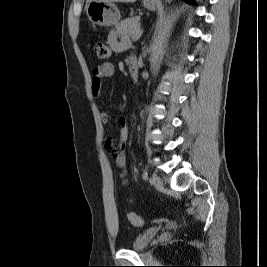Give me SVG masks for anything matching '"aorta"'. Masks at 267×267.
Segmentation results:
<instances>
[{
    "label": "aorta",
    "instance_id": "aorta-1",
    "mask_svg": "<svg viewBox=\"0 0 267 267\" xmlns=\"http://www.w3.org/2000/svg\"><path fill=\"white\" fill-rule=\"evenodd\" d=\"M171 0H166V2H170ZM157 46H158V40L156 39L155 41H154V44H153V51H155L156 49H157Z\"/></svg>",
    "mask_w": 267,
    "mask_h": 267
}]
</instances>
